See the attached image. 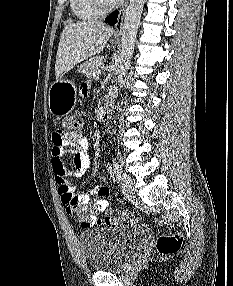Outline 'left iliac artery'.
<instances>
[{"label": "left iliac artery", "instance_id": "left-iliac-artery-1", "mask_svg": "<svg viewBox=\"0 0 233 286\" xmlns=\"http://www.w3.org/2000/svg\"><path fill=\"white\" fill-rule=\"evenodd\" d=\"M113 170H114L117 180L119 181L121 178V169L119 168V165L117 164L115 159H113Z\"/></svg>", "mask_w": 233, "mask_h": 286}]
</instances>
